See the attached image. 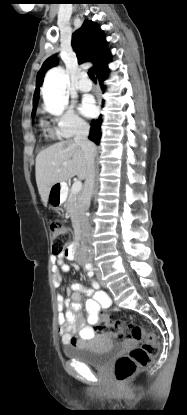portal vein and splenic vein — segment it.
I'll list each match as a JSON object with an SVG mask.
<instances>
[{"instance_id":"obj_1","label":"portal vein and splenic vein","mask_w":187,"mask_h":415,"mask_svg":"<svg viewBox=\"0 0 187 415\" xmlns=\"http://www.w3.org/2000/svg\"><path fill=\"white\" fill-rule=\"evenodd\" d=\"M64 165H66V163H64ZM82 189V182L81 181H75L72 185L71 191L74 194H77L81 191Z\"/></svg>"}]
</instances>
